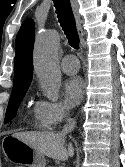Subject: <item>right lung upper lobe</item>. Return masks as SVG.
<instances>
[{
  "instance_id": "1",
  "label": "right lung upper lobe",
  "mask_w": 125,
  "mask_h": 167,
  "mask_svg": "<svg viewBox=\"0 0 125 167\" xmlns=\"http://www.w3.org/2000/svg\"><path fill=\"white\" fill-rule=\"evenodd\" d=\"M34 22L26 19L17 34L14 59L13 92L28 89L33 75L32 51L34 43Z\"/></svg>"
}]
</instances>
